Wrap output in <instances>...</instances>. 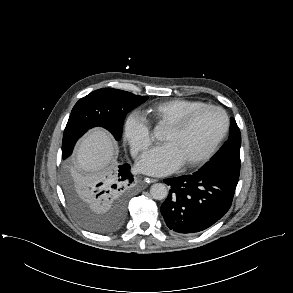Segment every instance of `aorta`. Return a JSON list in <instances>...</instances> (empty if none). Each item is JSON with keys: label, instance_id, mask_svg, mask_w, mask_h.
<instances>
[{"label": "aorta", "instance_id": "762f6f07", "mask_svg": "<svg viewBox=\"0 0 293 293\" xmlns=\"http://www.w3.org/2000/svg\"><path fill=\"white\" fill-rule=\"evenodd\" d=\"M151 197L155 200H163L168 195L167 187L162 183L153 184L150 188Z\"/></svg>", "mask_w": 293, "mask_h": 293}]
</instances>
